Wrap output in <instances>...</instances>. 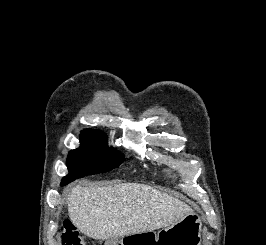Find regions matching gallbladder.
<instances>
[{"label": "gallbladder", "instance_id": "gallbladder-1", "mask_svg": "<svg viewBox=\"0 0 266 245\" xmlns=\"http://www.w3.org/2000/svg\"><path fill=\"white\" fill-rule=\"evenodd\" d=\"M122 239H107L106 245H119L121 243Z\"/></svg>", "mask_w": 266, "mask_h": 245}]
</instances>
